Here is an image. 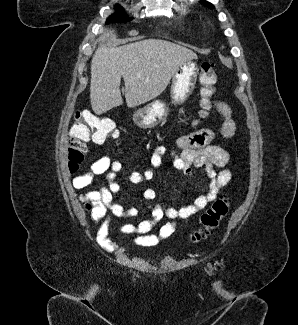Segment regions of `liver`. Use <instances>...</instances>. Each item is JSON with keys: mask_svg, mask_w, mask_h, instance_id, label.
<instances>
[{"mask_svg": "<svg viewBox=\"0 0 298 325\" xmlns=\"http://www.w3.org/2000/svg\"><path fill=\"white\" fill-rule=\"evenodd\" d=\"M112 34L113 30H108L99 36L101 42L91 60L90 102L95 114L123 104L121 78L126 104L133 108L159 96L180 64L198 58L191 48L162 38L106 46L104 42Z\"/></svg>", "mask_w": 298, "mask_h": 325, "instance_id": "liver-1", "label": "liver"}]
</instances>
